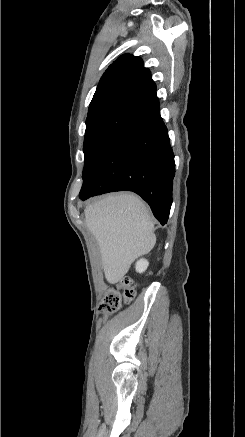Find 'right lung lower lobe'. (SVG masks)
<instances>
[{
	"label": "right lung lower lobe",
	"mask_w": 245,
	"mask_h": 437,
	"mask_svg": "<svg viewBox=\"0 0 245 437\" xmlns=\"http://www.w3.org/2000/svg\"><path fill=\"white\" fill-rule=\"evenodd\" d=\"M174 154L159 105L148 109L118 135L83 183L79 197L132 191L166 224L172 204Z\"/></svg>",
	"instance_id": "1"
}]
</instances>
